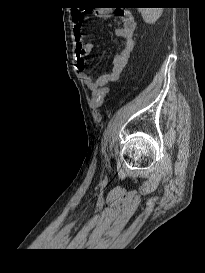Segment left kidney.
<instances>
[{"label":"left kidney","instance_id":"left-kidney-1","mask_svg":"<svg viewBox=\"0 0 205 273\" xmlns=\"http://www.w3.org/2000/svg\"><path fill=\"white\" fill-rule=\"evenodd\" d=\"M143 20L148 24H154L162 15V8H138Z\"/></svg>","mask_w":205,"mask_h":273}]
</instances>
